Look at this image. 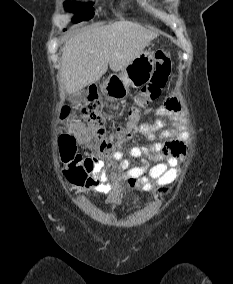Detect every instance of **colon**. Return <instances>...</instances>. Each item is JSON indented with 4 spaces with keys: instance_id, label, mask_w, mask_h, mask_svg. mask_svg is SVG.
<instances>
[{
    "instance_id": "colon-1",
    "label": "colon",
    "mask_w": 233,
    "mask_h": 284,
    "mask_svg": "<svg viewBox=\"0 0 233 284\" xmlns=\"http://www.w3.org/2000/svg\"><path fill=\"white\" fill-rule=\"evenodd\" d=\"M154 70L148 83L141 88L134 98L129 111V122L120 126L107 135L105 122L101 115V102L92 97L82 107L81 113L90 128V136L95 147L105 155L116 152L136 130L141 111L156 101L165 87L171 70V55L168 51L158 50L154 56ZM69 109L65 107L62 116L65 117ZM60 156L65 163L64 176L74 185L83 186L93 168L90 158H84L77 152L76 138L72 134H62L59 138ZM167 188H160L159 193H167Z\"/></svg>"
}]
</instances>
